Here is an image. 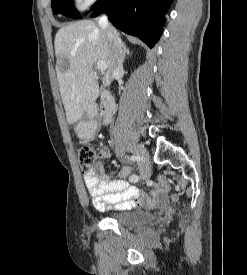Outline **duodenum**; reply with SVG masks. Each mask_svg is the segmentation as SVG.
Wrapping results in <instances>:
<instances>
[{"label": "duodenum", "mask_w": 247, "mask_h": 275, "mask_svg": "<svg viewBox=\"0 0 247 275\" xmlns=\"http://www.w3.org/2000/svg\"><path fill=\"white\" fill-rule=\"evenodd\" d=\"M116 110V104L112 95L108 92H103L100 96L98 118L104 124L108 122Z\"/></svg>", "instance_id": "410a0bca"}]
</instances>
